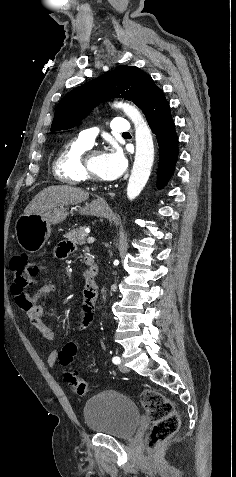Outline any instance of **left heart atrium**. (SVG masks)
Returning a JSON list of instances; mask_svg holds the SVG:
<instances>
[{
	"label": "left heart atrium",
	"mask_w": 236,
	"mask_h": 477,
	"mask_svg": "<svg viewBox=\"0 0 236 477\" xmlns=\"http://www.w3.org/2000/svg\"><path fill=\"white\" fill-rule=\"evenodd\" d=\"M103 169L108 179L119 177L126 168V159L123 153L116 147L111 148L102 155Z\"/></svg>",
	"instance_id": "1"
}]
</instances>
